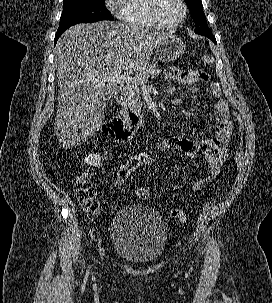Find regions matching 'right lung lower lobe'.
<instances>
[{"instance_id": "98d812e1", "label": "right lung lower lobe", "mask_w": 272, "mask_h": 303, "mask_svg": "<svg viewBox=\"0 0 272 303\" xmlns=\"http://www.w3.org/2000/svg\"><path fill=\"white\" fill-rule=\"evenodd\" d=\"M61 34L62 33H56L55 39H54V45L56 44V42H57V40H58V38L60 37Z\"/></svg>"}]
</instances>
